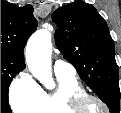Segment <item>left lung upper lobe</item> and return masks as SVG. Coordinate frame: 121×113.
I'll return each mask as SVG.
<instances>
[{"instance_id": "left-lung-upper-lobe-1", "label": "left lung upper lobe", "mask_w": 121, "mask_h": 113, "mask_svg": "<svg viewBox=\"0 0 121 113\" xmlns=\"http://www.w3.org/2000/svg\"><path fill=\"white\" fill-rule=\"evenodd\" d=\"M52 19L59 27L55 34L58 49L110 112L119 113L118 66L105 20L82 1L58 8Z\"/></svg>"}]
</instances>
